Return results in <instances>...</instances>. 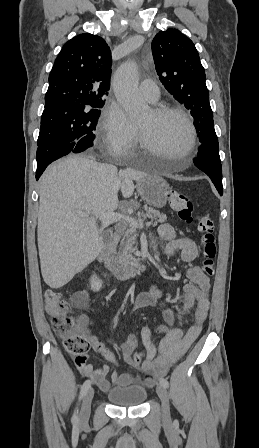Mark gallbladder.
Listing matches in <instances>:
<instances>
[{
    "mask_svg": "<svg viewBox=\"0 0 259 448\" xmlns=\"http://www.w3.org/2000/svg\"><path fill=\"white\" fill-rule=\"evenodd\" d=\"M111 236H112V232H103L102 242H110Z\"/></svg>",
    "mask_w": 259,
    "mask_h": 448,
    "instance_id": "1",
    "label": "gallbladder"
}]
</instances>
